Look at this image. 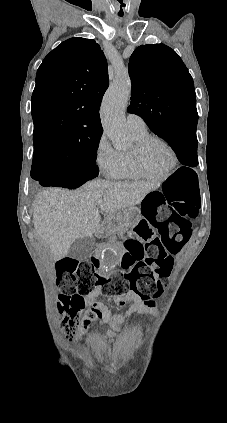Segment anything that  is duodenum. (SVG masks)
Wrapping results in <instances>:
<instances>
[{
	"label": "duodenum",
	"mask_w": 227,
	"mask_h": 423,
	"mask_svg": "<svg viewBox=\"0 0 227 423\" xmlns=\"http://www.w3.org/2000/svg\"><path fill=\"white\" fill-rule=\"evenodd\" d=\"M113 231H110L109 228H107V235H110Z\"/></svg>",
	"instance_id": "1"
}]
</instances>
